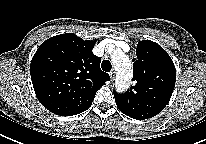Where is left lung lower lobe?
Listing matches in <instances>:
<instances>
[{"label":"left lung lower lobe","instance_id":"1","mask_svg":"<svg viewBox=\"0 0 206 144\" xmlns=\"http://www.w3.org/2000/svg\"><path fill=\"white\" fill-rule=\"evenodd\" d=\"M115 101H116V105L117 107L119 108V110L124 113L125 115L128 116V113L125 111L124 109V106L121 105L120 101L118 100V98L115 97ZM157 114H151L150 115V118L153 117V116H156Z\"/></svg>","mask_w":206,"mask_h":144}]
</instances>
